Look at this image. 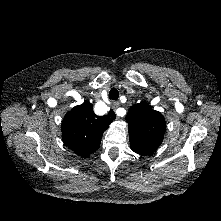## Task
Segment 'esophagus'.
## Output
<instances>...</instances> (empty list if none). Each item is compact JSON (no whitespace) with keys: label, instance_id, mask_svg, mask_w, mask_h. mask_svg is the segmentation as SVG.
I'll list each match as a JSON object with an SVG mask.
<instances>
[{"label":"esophagus","instance_id":"obj_1","mask_svg":"<svg viewBox=\"0 0 221 221\" xmlns=\"http://www.w3.org/2000/svg\"><path fill=\"white\" fill-rule=\"evenodd\" d=\"M119 107V102L118 101H114L111 105V116H113V118H115V120L119 119V117L116 115V109Z\"/></svg>","mask_w":221,"mask_h":221}]
</instances>
